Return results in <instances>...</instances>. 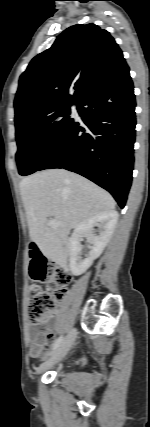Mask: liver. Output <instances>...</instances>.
Instances as JSON below:
<instances>
[{
    "label": "liver",
    "mask_w": 150,
    "mask_h": 427,
    "mask_svg": "<svg viewBox=\"0 0 150 427\" xmlns=\"http://www.w3.org/2000/svg\"><path fill=\"white\" fill-rule=\"evenodd\" d=\"M20 192L29 235L42 253L66 265L71 229L115 209L113 197L86 178L65 169H49L23 178ZM53 217L57 227L47 225Z\"/></svg>",
    "instance_id": "obj_1"
}]
</instances>
